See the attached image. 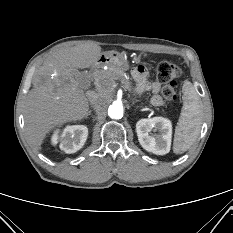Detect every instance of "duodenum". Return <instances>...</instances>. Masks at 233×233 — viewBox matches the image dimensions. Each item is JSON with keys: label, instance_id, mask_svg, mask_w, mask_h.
Here are the masks:
<instances>
[{"label": "duodenum", "instance_id": "410a0bca", "mask_svg": "<svg viewBox=\"0 0 233 233\" xmlns=\"http://www.w3.org/2000/svg\"><path fill=\"white\" fill-rule=\"evenodd\" d=\"M100 64H102V60H98V61L95 63V66H99Z\"/></svg>", "mask_w": 233, "mask_h": 233}]
</instances>
